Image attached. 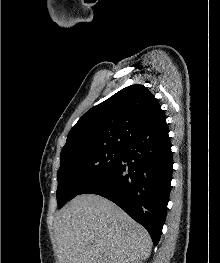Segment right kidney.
Returning <instances> with one entry per match:
<instances>
[{
  "instance_id": "ca27d5eb",
  "label": "right kidney",
  "mask_w": 220,
  "mask_h": 263,
  "mask_svg": "<svg viewBox=\"0 0 220 263\" xmlns=\"http://www.w3.org/2000/svg\"><path fill=\"white\" fill-rule=\"evenodd\" d=\"M131 263H143L141 261H132Z\"/></svg>"
}]
</instances>
